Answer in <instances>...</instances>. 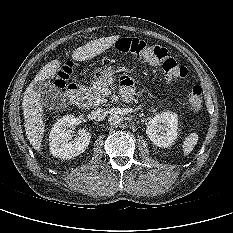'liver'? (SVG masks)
<instances>
[{"label": "liver", "mask_w": 233, "mask_h": 233, "mask_svg": "<svg viewBox=\"0 0 233 233\" xmlns=\"http://www.w3.org/2000/svg\"><path fill=\"white\" fill-rule=\"evenodd\" d=\"M119 39V35H114L93 40L77 48L72 54V59L79 62L92 59L112 47ZM60 68L61 62L58 60H53L46 64L37 73L24 93L22 102L24 127L27 138L36 151H39L41 148L45 132V123L43 122L42 98L38 92L35 91V84L39 81L54 78Z\"/></svg>", "instance_id": "1"}]
</instances>
